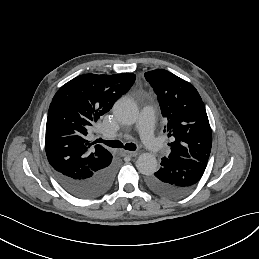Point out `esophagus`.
<instances>
[{"label":"esophagus","instance_id":"esophagus-1","mask_svg":"<svg viewBox=\"0 0 259 259\" xmlns=\"http://www.w3.org/2000/svg\"><path fill=\"white\" fill-rule=\"evenodd\" d=\"M137 154H138L137 152L127 151V150H124L122 152V155L124 157H135V156H137Z\"/></svg>","mask_w":259,"mask_h":259}]
</instances>
